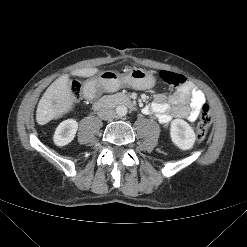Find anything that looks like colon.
<instances>
[{
	"instance_id": "1",
	"label": "colon",
	"mask_w": 247,
	"mask_h": 247,
	"mask_svg": "<svg viewBox=\"0 0 247 247\" xmlns=\"http://www.w3.org/2000/svg\"><path fill=\"white\" fill-rule=\"evenodd\" d=\"M161 80L167 84L169 87L176 88L187 82V79L178 73L163 70L160 72ZM82 86L78 81H73L71 83V92L75 98H79L81 95ZM212 124V114L210 107L204 105L202 108V113L200 120L196 128V138L197 140H203L207 135Z\"/></svg>"
}]
</instances>
